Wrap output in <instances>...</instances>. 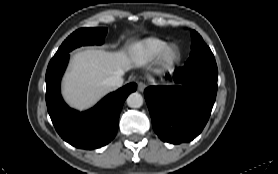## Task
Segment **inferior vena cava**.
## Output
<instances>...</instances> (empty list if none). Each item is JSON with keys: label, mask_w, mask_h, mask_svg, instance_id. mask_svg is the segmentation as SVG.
Returning a JSON list of instances; mask_svg holds the SVG:
<instances>
[{"label": "inferior vena cava", "mask_w": 278, "mask_h": 174, "mask_svg": "<svg viewBox=\"0 0 278 174\" xmlns=\"http://www.w3.org/2000/svg\"><path fill=\"white\" fill-rule=\"evenodd\" d=\"M121 76H122L121 74H117V75H114V76L108 78L106 80V84L111 87H115V88L122 86L123 78Z\"/></svg>", "instance_id": "inferior-vena-cava-1"}]
</instances>
